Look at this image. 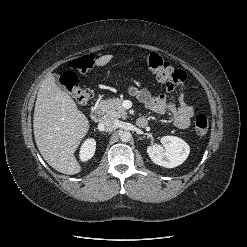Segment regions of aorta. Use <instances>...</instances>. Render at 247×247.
I'll list each match as a JSON object with an SVG mask.
<instances>
[{"mask_svg":"<svg viewBox=\"0 0 247 247\" xmlns=\"http://www.w3.org/2000/svg\"><path fill=\"white\" fill-rule=\"evenodd\" d=\"M131 138H132V135L129 131H122L120 133V140L122 142H129L131 140Z\"/></svg>","mask_w":247,"mask_h":247,"instance_id":"1","label":"aorta"}]
</instances>
